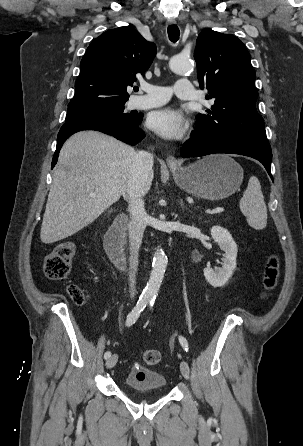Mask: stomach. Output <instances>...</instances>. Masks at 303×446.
Listing matches in <instances>:
<instances>
[{
    "label": "stomach",
    "mask_w": 303,
    "mask_h": 446,
    "mask_svg": "<svg viewBox=\"0 0 303 446\" xmlns=\"http://www.w3.org/2000/svg\"><path fill=\"white\" fill-rule=\"evenodd\" d=\"M176 184L184 191L208 200L234 194L243 181V168L223 154L204 157L185 167H170Z\"/></svg>",
    "instance_id": "obj_1"
}]
</instances>
